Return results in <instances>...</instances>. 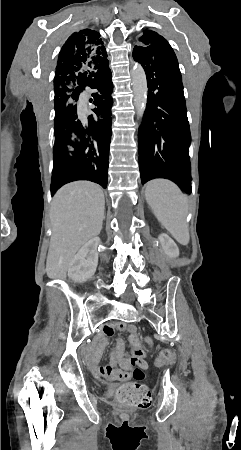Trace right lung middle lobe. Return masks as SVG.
Masks as SVG:
<instances>
[{"label":"right lung middle lobe","mask_w":241,"mask_h":450,"mask_svg":"<svg viewBox=\"0 0 241 450\" xmlns=\"http://www.w3.org/2000/svg\"><path fill=\"white\" fill-rule=\"evenodd\" d=\"M73 105H74V102L67 100V99L54 101L55 119L60 116L61 111H63L64 109H66L69 106L73 107ZM55 137H56V135H55Z\"/></svg>","instance_id":"obj_1"}]
</instances>
